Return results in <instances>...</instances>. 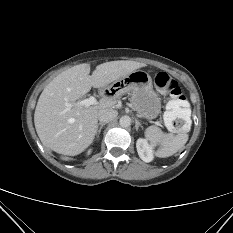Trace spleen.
<instances>
[{
  "label": "spleen",
  "instance_id": "spleen-1",
  "mask_svg": "<svg viewBox=\"0 0 233 233\" xmlns=\"http://www.w3.org/2000/svg\"><path fill=\"white\" fill-rule=\"evenodd\" d=\"M182 106V107H181ZM191 110L188 102H175L170 101L166 106L164 113V121L167 125H172V121L176 118H182L185 120V129L179 135H173L172 133L164 134L156 126H150L145 130V137L153 144H159L160 149L157 155L159 157H169L178 150H180L187 142L188 135L186 130L191 125Z\"/></svg>",
  "mask_w": 233,
  "mask_h": 233
}]
</instances>
